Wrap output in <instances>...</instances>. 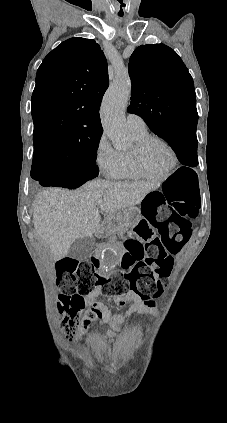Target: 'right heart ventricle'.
I'll use <instances>...</instances> for the list:
<instances>
[{"mask_svg": "<svg viewBox=\"0 0 227 423\" xmlns=\"http://www.w3.org/2000/svg\"><path fill=\"white\" fill-rule=\"evenodd\" d=\"M129 134L131 136V139L133 140L134 143L142 140L143 138H145L146 136H148L147 131L144 132H131L129 131ZM120 160H121V172H120V177L119 178H125V179H135L138 178L139 176L136 174L134 168H133V163H132V158H131V150H121L118 151Z\"/></svg>", "mask_w": 227, "mask_h": 423, "instance_id": "obj_1", "label": "right heart ventricle"}]
</instances>
